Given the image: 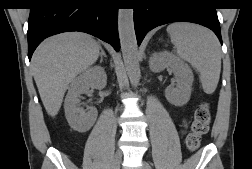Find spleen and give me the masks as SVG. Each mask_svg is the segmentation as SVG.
<instances>
[{
  "mask_svg": "<svg viewBox=\"0 0 252 169\" xmlns=\"http://www.w3.org/2000/svg\"><path fill=\"white\" fill-rule=\"evenodd\" d=\"M176 35L181 56L200 72L204 90L212 93L218 82L220 67L212 35L196 26H181L176 29Z\"/></svg>",
  "mask_w": 252,
  "mask_h": 169,
  "instance_id": "spleen-1",
  "label": "spleen"
}]
</instances>
